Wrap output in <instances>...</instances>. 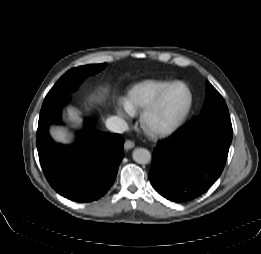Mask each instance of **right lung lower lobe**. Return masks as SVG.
Wrapping results in <instances>:
<instances>
[{
  "mask_svg": "<svg viewBox=\"0 0 261 254\" xmlns=\"http://www.w3.org/2000/svg\"><path fill=\"white\" fill-rule=\"evenodd\" d=\"M69 95L43 102L37 130L39 160L49 184L60 195L77 202L103 196L112 186L124 157L120 134L100 133L90 122L79 133L78 145L53 142L49 126L59 121Z\"/></svg>",
  "mask_w": 261,
  "mask_h": 254,
  "instance_id": "98d812e1",
  "label": "right lung lower lobe"
}]
</instances>
